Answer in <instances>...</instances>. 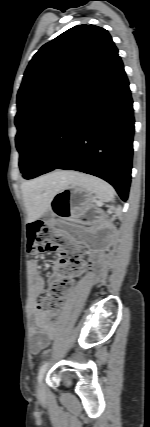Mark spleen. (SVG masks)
<instances>
[{
    "mask_svg": "<svg viewBox=\"0 0 150 427\" xmlns=\"http://www.w3.org/2000/svg\"><path fill=\"white\" fill-rule=\"evenodd\" d=\"M74 182L93 193L95 198L98 199L97 204L115 201V190L113 187L99 178L77 173Z\"/></svg>",
    "mask_w": 150,
    "mask_h": 427,
    "instance_id": "obj_1",
    "label": "spleen"
}]
</instances>
